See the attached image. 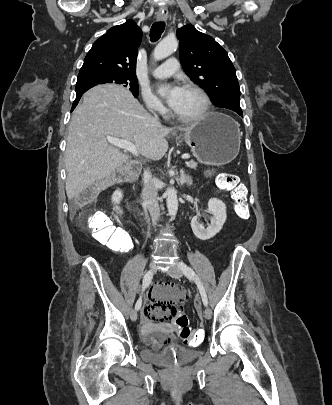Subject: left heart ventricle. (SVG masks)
<instances>
[{"mask_svg": "<svg viewBox=\"0 0 332 405\" xmlns=\"http://www.w3.org/2000/svg\"><path fill=\"white\" fill-rule=\"evenodd\" d=\"M202 104V99L197 93L183 89L179 103L174 111L179 116L192 117L200 111Z\"/></svg>", "mask_w": 332, "mask_h": 405, "instance_id": "b2bd125f", "label": "left heart ventricle"}]
</instances>
